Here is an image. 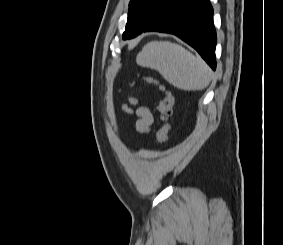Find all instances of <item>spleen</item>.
Wrapping results in <instances>:
<instances>
[{"instance_id":"obj_1","label":"spleen","mask_w":283,"mask_h":245,"mask_svg":"<svg viewBox=\"0 0 283 245\" xmlns=\"http://www.w3.org/2000/svg\"><path fill=\"white\" fill-rule=\"evenodd\" d=\"M142 67L158 71L178 89L196 91L206 88L212 78L209 66L177 43L152 41L137 55Z\"/></svg>"}]
</instances>
